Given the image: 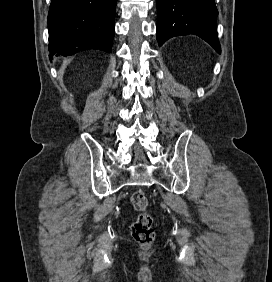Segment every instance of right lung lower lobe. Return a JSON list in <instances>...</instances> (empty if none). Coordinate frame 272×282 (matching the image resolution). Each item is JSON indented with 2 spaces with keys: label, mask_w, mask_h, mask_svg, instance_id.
I'll use <instances>...</instances> for the list:
<instances>
[{
  "label": "right lung lower lobe",
  "mask_w": 272,
  "mask_h": 282,
  "mask_svg": "<svg viewBox=\"0 0 272 282\" xmlns=\"http://www.w3.org/2000/svg\"><path fill=\"white\" fill-rule=\"evenodd\" d=\"M116 0H52L48 13L50 58L86 49L110 53Z\"/></svg>",
  "instance_id": "98d812e1"
}]
</instances>
